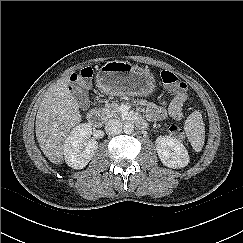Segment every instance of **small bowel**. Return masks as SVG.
<instances>
[{"label": "small bowel", "mask_w": 243, "mask_h": 243, "mask_svg": "<svg viewBox=\"0 0 243 243\" xmlns=\"http://www.w3.org/2000/svg\"><path fill=\"white\" fill-rule=\"evenodd\" d=\"M187 100V93L176 94L170 104L149 105L147 107V115L151 119L162 120L167 116L174 120H181L184 116L183 106Z\"/></svg>", "instance_id": "c3829d8e"}]
</instances>
